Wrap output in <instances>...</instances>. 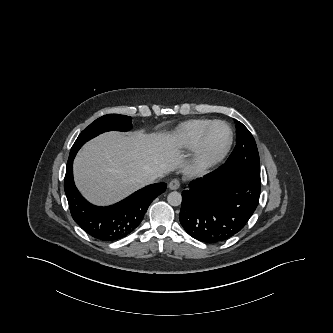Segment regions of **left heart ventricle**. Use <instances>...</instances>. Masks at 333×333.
I'll list each match as a JSON object with an SVG mask.
<instances>
[{"instance_id": "1", "label": "left heart ventricle", "mask_w": 333, "mask_h": 333, "mask_svg": "<svg viewBox=\"0 0 333 333\" xmlns=\"http://www.w3.org/2000/svg\"><path fill=\"white\" fill-rule=\"evenodd\" d=\"M227 137V129L223 125H217L211 136V149L216 150L223 145Z\"/></svg>"}]
</instances>
